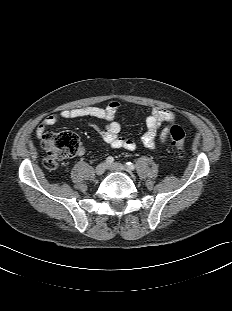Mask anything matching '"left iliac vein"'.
Masks as SVG:
<instances>
[{
  "mask_svg": "<svg viewBox=\"0 0 232 311\" xmlns=\"http://www.w3.org/2000/svg\"><path fill=\"white\" fill-rule=\"evenodd\" d=\"M107 168L109 170H113V171H124L125 170V166L122 165L121 163H113L107 166Z\"/></svg>",
  "mask_w": 232,
  "mask_h": 311,
  "instance_id": "obj_1",
  "label": "left iliac vein"
}]
</instances>
